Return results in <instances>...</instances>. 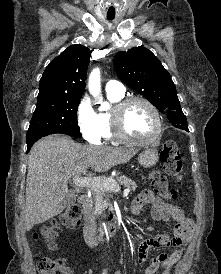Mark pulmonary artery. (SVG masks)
Listing matches in <instances>:
<instances>
[{
	"label": "pulmonary artery",
	"mask_w": 221,
	"mask_h": 274,
	"mask_svg": "<svg viewBox=\"0 0 221 274\" xmlns=\"http://www.w3.org/2000/svg\"><path fill=\"white\" fill-rule=\"evenodd\" d=\"M106 92L122 95L125 93L124 85L117 80H110L105 86Z\"/></svg>",
	"instance_id": "e3ab8cb5"
}]
</instances>
